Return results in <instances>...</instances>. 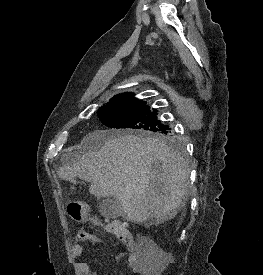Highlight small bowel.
Segmentation results:
<instances>
[{"label": "small bowel", "instance_id": "small-bowel-1", "mask_svg": "<svg viewBox=\"0 0 263 275\" xmlns=\"http://www.w3.org/2000/svg\"><path fill=\"white\" fill-rule=\"evenodd\" d=\"M94 222L96 224L103 226L104 228L107 226L108 223H110H102L97 219H95ZM86 241L91 242L93 244L101 243V239L97 235L86 231H79L76 237V242L72 246V254L76 260L77 267L83 275H97V273L91 269L87 262L80 260V257L83 253L82 242ZM127 263L133 273L139 275H142L144 273V261L140 257V254L137 249L129 250Z\"/></svg>", "mask_w": 263, "mask_h": 275}]
</instances>
